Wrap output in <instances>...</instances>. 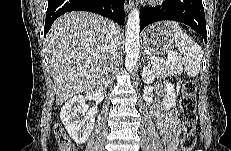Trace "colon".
Listing matches in <instances>:
<instances>
[{"mask_svg": "<svg viewBox=\"0 0 231 151\" xmlns=\"http://www.w3.org/2000/svg\"><path fill=\"white\" fill-rule=\"evenodd\" d=\"M196 90L197 85L193 80H187L182 85V97L179 103V118L183 127V133L180 140L182 151H190L196 144ZM54 135L60 151H76L75 145L69 139L60 124L54 126Z\"/></svg>", "mask_w": 231, "mask_h": 151, "instance_id": "obj_1", "label": "colon"}]
</instances>
